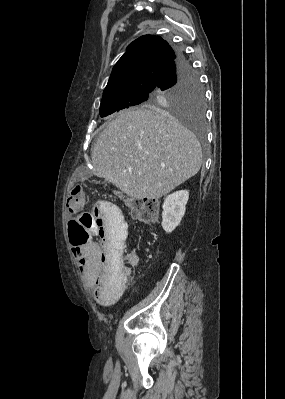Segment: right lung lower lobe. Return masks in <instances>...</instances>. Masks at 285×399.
Instances as JSON below:
<instances>
[{"label":"right lung lower lobe","mask_w":285,"mask_h":399,"mask_svg":"<svg viewBox=\"0 0 285 399\" xmlns=\"http://www.w3.org/2000/svg\"><path fill=\"white\" fill-rule=\"evenodd\" d=\"M191 69L190 63L186 60L183 52H176V59L169 65V67L163 73L160 81L157 84V88H161L166 84H171L179 80L183 74Z\"/></svg>","instance_id":"1"}]
</instances>
